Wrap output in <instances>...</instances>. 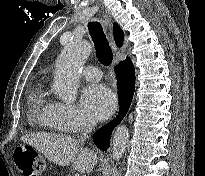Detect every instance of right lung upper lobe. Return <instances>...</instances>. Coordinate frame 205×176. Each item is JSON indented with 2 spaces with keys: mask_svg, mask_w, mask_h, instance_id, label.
Returning a JSON list of instances; mask_svg holds the SVG:
<instances>
[{
  "mask_svg": "<svg viewBox=\"0 0 205 176\" xmlns=\"http://www.w3.org/2000/svg\"><path fill=\"white\" fill-rule=\"evenodd\" d=\"M114 38L117 46L121 47L124 41V32L117 23L113 24Z\"/></svg>",
  "mask_w": 205,
  "mask_h": 176,
  "instance_id": "obj_1",
  "label": "right lung upper lobe"
}]
</instances>
